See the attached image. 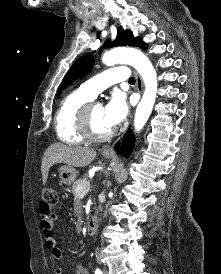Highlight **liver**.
<instances>
[{
	"label": "liver",
	"mask_w": 221,
	"mask_h": 274,
	"mask_svg": "<svg viewBox=\"0 0 221 274\" xmlns=\"http://www.w3.org/2000/svg\"><path fill=\"white\" fill-rule=\"evenodd\" d=\"M96 157V151L90 148L78 146H66L62 144H52L47 148L41 162L42 181L45 185L48 172L52 165L64 163L71 167H85Z\"/></svg>",
	"instance_id": "obj_1"
}]
</instances>
